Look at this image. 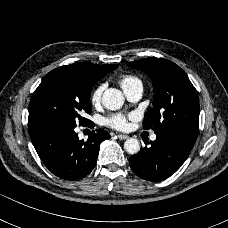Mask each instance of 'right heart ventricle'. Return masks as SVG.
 Wrapping results in <instances>:
<instances>
[{
  "label": "right heart ventricle",
  "mask_w": 228,
  "mask_h": 228,
  "mask_svg": "<svg viewBox=\"0 0 228 228\" xmlns=\"http://www.w3.org/2000/svg\"><path fill=\"white\" fill-rule=\"evenodd\" d=\"M121 88L124 90L130 89L138 83H142L140 78L133 74H122L118 78Z\"/></svg>",
  "instance_id": "right-heart-ventricle-1"
}]
</instances>
